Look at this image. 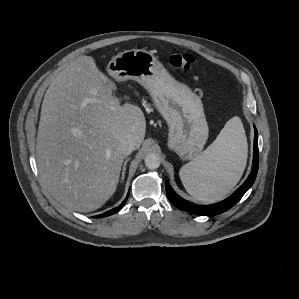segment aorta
I'll return each instance as SVG.
<instances>
[{"label": "aorta", "instance_id": "aorta-1", "mask_svg": "<svg viewBox=\"0 0 299 299\" xmlns=\"http://www.w3.org/2000/svg\"><path fill=\"white\" fill-rule=\"evenodd\" d=\"M145 165L149 169H157L160 166V157L156 153H150L145 157Z\"/></svg>", "mask_w": 299, "mask_h": 299}]
</instances>
